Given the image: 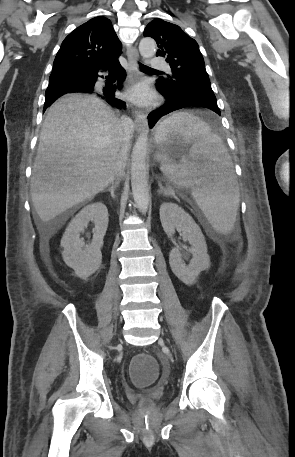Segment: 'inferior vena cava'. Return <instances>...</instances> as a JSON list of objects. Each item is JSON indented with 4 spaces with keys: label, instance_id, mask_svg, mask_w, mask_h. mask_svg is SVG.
Here are the masks:
<instances>
[{
    "label": "inferior vena cava",
    "instance_id": "1",
    "mask_svg": "<svg viewBox=\"0 0 295 457\" xmlns=\"http://www.w3.org/2000/svg\"><path fill=\"white\" fill-rule=\"evenodd\" d=\"M121 124L123 126V137L125 141H129L130 138L132 137L133 130H134V123L132 119L129 117H124L121 120ZM126 154L127 151L125 148L122 149L118 156V160L116 162V167H115V176L119 179L124 171L125 168V163H126Z\"/></svg>",
    "mask_w": 295,
    "mask_h": 457
}]
</instances>
